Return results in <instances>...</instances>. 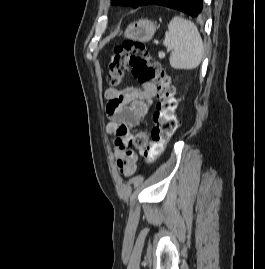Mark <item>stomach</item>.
Segmentation results:
<instances>
[{
	"label": "stomach",
	"instance_id": "obj_1",
	"mask_svg": "<svg viewBox=\"0 0 265 269\" xmlns=\"http://www.w3.org/2000/svg\"><path fill=\"white\" fill-rule=\"evenodd\" d=\"M157 26L148 19H140L129 24L124 32V36L140 42H148L155 34Z\"/></svg>",
	"mask_w": 265,
	"mask_h": 269
}]
</instances>
